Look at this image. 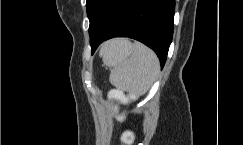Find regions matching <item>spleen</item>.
Listing matches in <instances>:
<instances>
[{
  "mask_svg": "<svg viewBox=\"0 0 243 145\" xmlns=\"http://www.w3.org/2000/svg\"><path fill=\"white\" fill-rule=\"evenodd\" d=\"M103 61L107 65L114 66L109 76L110 83L135 96L146 93L160 72L156 54L139 42L131 45V56L113 61L107 53Z\"/></svg>",
  "mask_w": 243,
  "mask_h": 145,
  "instance_id": "spleen-1",
  "label": "spleen"
}]
</instances>
